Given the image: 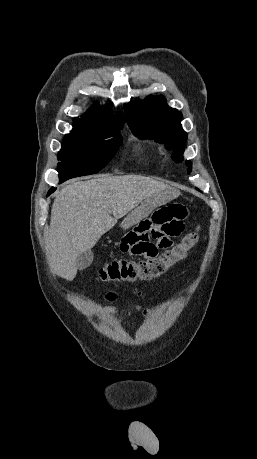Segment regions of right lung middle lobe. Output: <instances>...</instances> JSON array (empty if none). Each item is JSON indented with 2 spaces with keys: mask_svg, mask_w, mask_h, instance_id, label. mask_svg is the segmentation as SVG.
Here are the masks:
<instances>
[{
  "mask_svg": "<svg viewBox=\"0 0 257 459\" xmlns=\"http://www.w3.org/2000/svg\"><path fill=\"white\" fill-rule=\"evenodd\" d=\"M121 144L120 130L99 132L74 125L65 135L58 153L59 178L65 181L97 173L112 159Z\"/></svg>",
  "mask_w": 257,
  "mask_h": 459,
  "instance_id": "1",
  "label": "right lung middle lobe"
}]
</instances>
